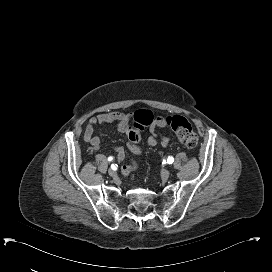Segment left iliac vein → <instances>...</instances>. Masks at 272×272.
<instances>
[{
  "label": "left iliac vein",
  "mask_w": 272,
  "mask_h": 272,
  "mask_svg": "<svg viewBox=\"0 0 272 272\" xmlns=\"http://www.w3.org/2000/svg\"><path fill=\"white\" fill-rule=\"evenodd\" d=\"M169 176H170V171H169L168 169H163V170L161 171V177H162L163 179H167Z\"/></svg>",
  "instance_id": "4c4485c4"
}]
</instances>
